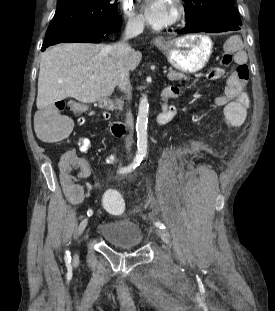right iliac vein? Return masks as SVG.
I'll return each instance as SVG.
<instances>
[{
  "label": "right iliac vein",
  "mask_w": 275,
  "mask_h": 311,
  "mask_svg": "<svg viewBox=\"0 0 275 311\" xmlns=\"http://www.w3.org/2000/svg\"><path fill=\"white\" fill-rule=\"evenodd\" d=\"M88 224V218H85L81 221L79 227H78V234L81 235L83 231L85 230L86 226Z\"/></svg>",
  "instance_id": "right-iliac-vein-1"
}]
</instances>
